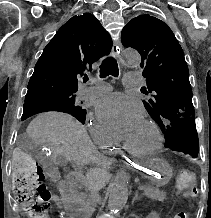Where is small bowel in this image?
<instances>
[{
    "label": "small bowel",
    "instance_id": "c3829d8e",
    "mask_svg": "<svg viewBox=\"0 0 211 218\" xmlns=\"http://www.w3.org/2000/svg\"><path fill=\"white\" fill-rule=\"evenodd\" d=\"M53 200L57 203L58 206H62L63 202L57 197L53 196ZM146 218H160V213L156 210L149 212Z\"/></svg>",
    "mask_w": 211,
    "mask_h": 218
}]
</instances>
